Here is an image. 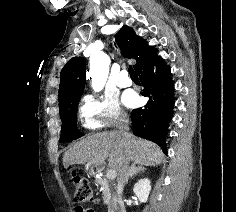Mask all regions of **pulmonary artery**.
<instances>
[{
	"instance_id": "pulmonary-artery-1",
	"label": "pulmonary artery",
	"mask_w": 236,
	"mask_h": 212,
	"mask_svg": "<svg viewBox=\"0 0 236 212\" xmlns=\"http://www.w3.org/2000/svg\"><path fill=\"white\" fill-rule=\"evenodd\" d=\"M132 85V80L128 77V74L126 71H122L119 74V81L118 86L119 87H129Z\"/></svg>"
}]
</instances>
